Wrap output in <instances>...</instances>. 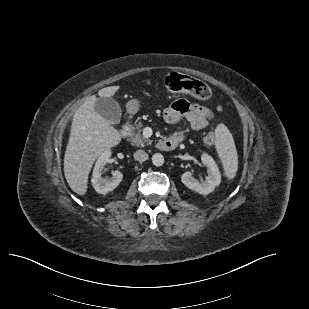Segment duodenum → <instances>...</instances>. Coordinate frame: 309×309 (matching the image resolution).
Returning <instances> with one entry per match:
<instances>
[{
	"label": "duodenum",
	"mask_w": 309,
	"mask_h": 309,
	"mask_svg": "<svg viewBox=\"0 0 309 309\" xmlns=\"http://www.w3.org/2000/svg\"><path fill=\"white\" fill-rule=\"evenodd\" d=\"M129 133H130V126L127 124L121 129L120 136L122 138H126L129 135ZM178 143H179L178 139L172 137L164 138L157 143V148L161 151H171L177 146Z\"/></svg>",
	"instance_id": "obj_1"
}]
</instances>
